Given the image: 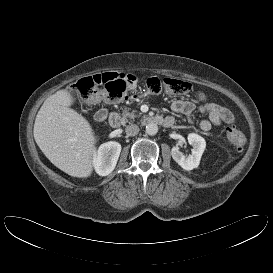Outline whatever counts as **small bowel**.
<instances>
[{
  "instance_id": "small-bowel-1",
  "label": "small bowel",
  "mask_w": 273,
  "mask_h": 273,
  "mask_svg": "<svg viewBox=\"0 0 273 273\" xmlns=\"http://www.w3.org/2000/svg\"><path fill=\"white\" fill-rule=\"evenodd\" d=\"M195 96L197 103L183 99L174 100L171 103V110L187 116L189 121H192V116L196 111L208 115L207 119H203L199 123L200 129L204 132H208L212 127L219 126L222 123L232 124L234 122V116L229 109L208 101L203 92L199 91ZM167 118L174 123L175 119L173 116Z\"/></svg>"
}]
</instances>
